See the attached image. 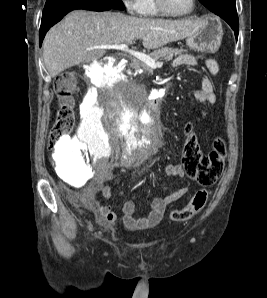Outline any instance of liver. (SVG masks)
I'll return each mask as SVG.
<instances>
[{"label": "liver", "mask_w": 267, "mask_h": 298, "mask_svg": "<svg viewBox=\"0 0 267 298\" xmlns=\"http://www.w3.org/2000/svg\"><path fill=\"white\" fill-rule=\"evenodd\" d=\"M204 25L201 20H165L138 18L119 12H70L46 34L43 58L51 77L80 63L96 61L105 55V49L88 48L109 44H132L142 39L147 49H156L167 43L196 34Z\"/></svg>", "instance_id": "6515ba94"}]
</instances>
